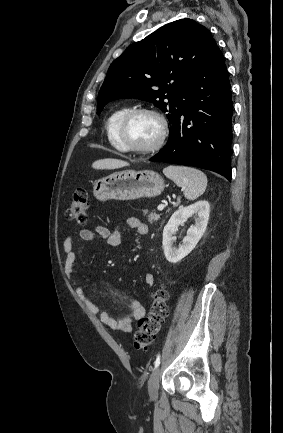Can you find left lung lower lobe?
<instances>
[{
    "label": "left lung lower lobe",
    "instance_id": "1",
    "mask_svg": "<svg viewBox=\"0 0 283 433\" xmlns=\"http://www.w3.org/2000/svg\"><path fill=\"white\" fill-rule=\"evenodd\" d=\"M215 45L188 87V106L171 123L169 140L150 161L215 171L231 180L232 92Z\"/></svg>",
    "mask_w": 283,
    "mask_h": 433
}]
</instances>
